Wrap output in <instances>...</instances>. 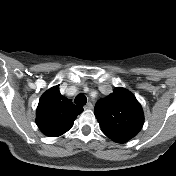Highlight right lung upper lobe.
<instances>
[{"label":"right lung upper lobe","mask_w":176,"mask_h":176,"mask_svg":"<svg viewBox=\"0 0 176 176\" xmlns=\"http://www.w3.org/2000/svg\"><path fill=\"white\" fill-rule=\"evenodd\" d=\"M82 106L74 105L71 100L61 95L59 85L47 90L40 98L36 113L39 129L49 137H57L67 132Z\"/></svg>","instance_id":"right-lung-upper-lobe-1"}]
</instances>
